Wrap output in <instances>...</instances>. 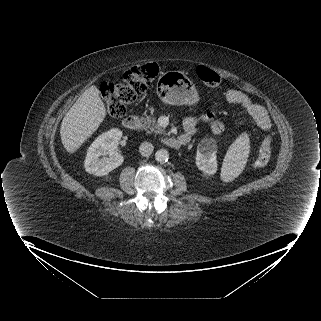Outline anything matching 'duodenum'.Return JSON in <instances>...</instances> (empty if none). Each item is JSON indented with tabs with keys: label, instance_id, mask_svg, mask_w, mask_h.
Returning <instances> with one entry per match:
<instances>
[{
	"label": "duodenum",
	"instance_id": "obj_1",
	"mask_svg": "<svg viewBox=\"0 0 321 321\" xmlns=\"http://www.w3.org/2000/svg\"><path fill=\"white\" fill-rule=\"evenodd\" d=\"M123 126L128 130H137L141 126V119L137 115H128L123 120ZM185 142L184 137H165L163 144L169 148H179Z\"/></svg>",
	"mask_w": 321,
	"mask_h": 321
}]
</instances>
